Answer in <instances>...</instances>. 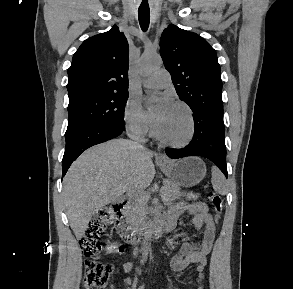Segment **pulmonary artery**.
<instances>
[{"mask_svg": "<svg viewBox=\"0 0 293 289\" xmlns=\"http://www.w3.org/2000/svg\"><path fill=\"white\" fill-rule=\"evenodd\" d=\"M170 83L169 72L165 69H159L144 81V86L148 88H163L170 85Z\"/></svg>", "mask_w": 293, "mask_h": 289, "instance_id": "obj_1", "label": "pulmonary artery"}]
</instances>
